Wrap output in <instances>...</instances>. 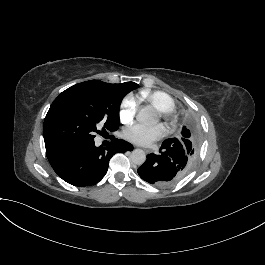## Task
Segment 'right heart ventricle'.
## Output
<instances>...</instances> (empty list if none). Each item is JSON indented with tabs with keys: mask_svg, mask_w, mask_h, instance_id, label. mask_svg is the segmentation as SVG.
I'll return each instance as SVG.
<instances>
[{
	"mask_svg": "<svg viewBox=\"0 0 265 265\" xmlns=\"http://www.w3.org/2000/svg\"><path fill=\"white\" fill-rule=\"evenodd\" d=\"M139 99L149 102L150 105H153L157 109L158 113L171 112L175 107L173 99L163 92L143 91L140 93Z\"/></svg>",
	"mask_w": 265,
	"mask_h": 265,
	"instance_id": "obj_1",
	"label": "right heart ventricle"
}]
</instances>
